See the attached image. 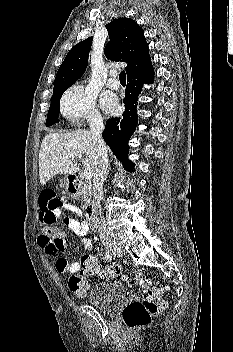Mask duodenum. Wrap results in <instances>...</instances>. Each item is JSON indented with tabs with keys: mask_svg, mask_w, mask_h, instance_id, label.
<instances>
[{
	"mask_svg": "<svg viewBox=\"0 0 233 352\" xmlns=\"http://www.w3.org/2000/svg\"><path fill=\"white\" fill-rule=\"evenodd\" d=\"M67 185L69 192L74 195L82 192L91 194L93 191V188L90 185L83 184L76 176H69ZM85 215L89 225L91 227H94L97 215V206L93 201L89 202V204L87 205Z\"/></svg>",
	"mask_w": 233,
	"mask_h": 352,
	"instance_id": "1",
	"label": "duodenum"
}]
</instances>
